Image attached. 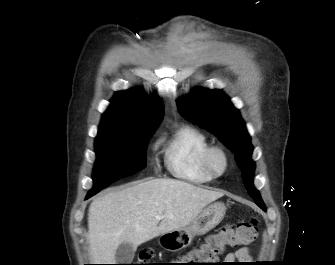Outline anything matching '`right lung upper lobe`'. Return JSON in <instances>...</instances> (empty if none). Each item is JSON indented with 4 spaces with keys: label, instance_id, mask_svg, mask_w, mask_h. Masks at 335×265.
Masks as SVG:
<instances>
[{
    "label": "right lung upper lobe",
    "instance_id": "right-lung-upper-lobe-1",
    "mask_svg": "<svg viewBox=\"0 0 335 265\" xmlns=\"http://www.w3.org/2000/svg\"><path fill=\"white\" fill-rule=\"evenodd\" d=\"M163 113L164 105L159 98H148L140 89L119 91L103 114L98 133L146 125L156 126Z\"/></svg>",
    "mask_w": 335,
    "mask_h": 265
}]
</instances>
